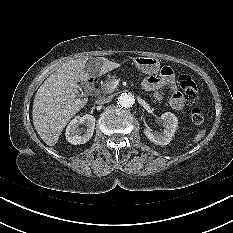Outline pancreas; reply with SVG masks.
<instances>
[{"instance_id":"pancreas-1","label":"pancreas","mask_w":233,"mask_h":233,"mask_svg":"<svg viewBox=\"0 0 233 233\" xmlns=\"http://www.w3.org/2000/svg\"><path fill=\"white\" fill-rule=\"evenodd\" d=\"M114 80H115V76H112V77H108V79L105 82H102L101 83V90H99V93L102 95L113 93Z\"/></svg>"}]
</instances>
